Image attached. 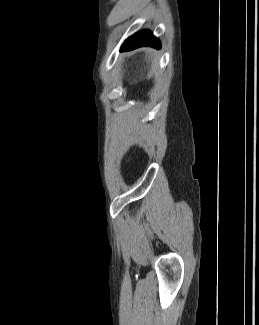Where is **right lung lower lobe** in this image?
I'll use <instances>...</instances> for the list:
<instances>
[{
    "mask_svg": "<svg viewBox=\"0 0 259 325\" xmlns=\"http://www.w3.org/2000/svg\"><path fill=\"white\" fill-rule=\"evenodd\" d=\"M142 46L160 48V41L150 31H141L129 37L123 43L121 51L133 50Z\"/></svg>",
    "mask_w": 259,
    "mask_h": 325,
    "instance_id": "1",
    "label": "right lung lower lobe"
}]
</instances>
